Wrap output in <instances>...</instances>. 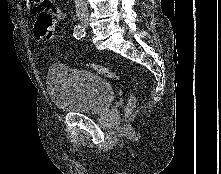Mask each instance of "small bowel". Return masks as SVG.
Listing matches in <instances>:
<instances>
[{
    "label": "small bowel",
    "instance_id": "small-bowel-1",
    "mask_svg": "<svg viewBox=\"0 0 221 174\" xmlns=\"http://www.w3.org/2000/svg\"><path fill=\"white\" fill-rule=\"evenodd\" d=\"M31 12L37 16L50 14L53 18L64 20L65 13L52 0H25Z\"/></svg>",
    "mask_w": 221,
    "mask_h": 174
}]
</instances>
